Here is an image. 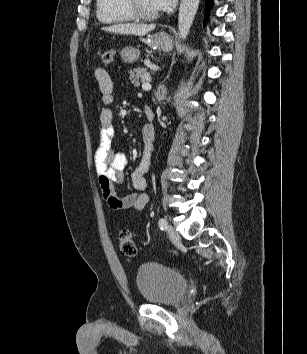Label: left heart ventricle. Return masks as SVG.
I'll list each match as a JSON object with an SVG mask.
<instances>
[{"label":"left heart ventricle","instance_id":"obj_1","mask_svg":"<svg viewBox=\"0 0 307 354\" xmlns=\"http://www.w3.org/2000/svg\"><path fill=\"white\" fill-rule=\"evenodd\" d=\"M140 7L149 13H155L158 10L156 9L153 0H138Z\"/></svg>","mask_w":307,"mask_h":354}]
</instances>
